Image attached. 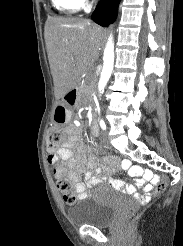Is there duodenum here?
I'll list each match as a JSON object with an SVG mask.
<instances>
[{
  "instance_id": "duodenum-1",
  "label": "duodenum",
  "mask_w": 183,
  "mask_h": 246,
  "mask_svg": "<svg viewBox=\"0 0 183 246\" xmlns=\"http://www.w3.org/2000/svg\"><path fill=\"white\" fill-rule=\"evenodd\" d=\"M77 94H78V88L74 87L72 88L65 97V100L70 104V105H74L76 104V100H77ZM95 145L90 147L91 151L95 150ZM98 149V148H97Z\"/></svg>"
}]
</instances>
